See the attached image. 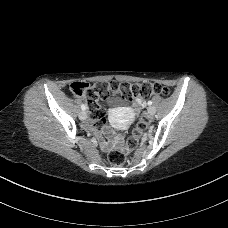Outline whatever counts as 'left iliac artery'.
I'll return each instance as SVG.
<instances>
[{
	"instance_id": "obj_1",
	"label": "left iliac artery",
	"mask_w": 228,
	"mask_h": 228,
	"mask_svg": "<svg viewBox=\"0 0 228 228\" xmlns=\"http://www.w3.org/2000/svg\"><path fill=\"white\" fill-rule=\"evenodd\" d=\"M148 105L149 106H151L152 105V101L150 100V101H148Z\"/></svg>"
}]
</instances>
